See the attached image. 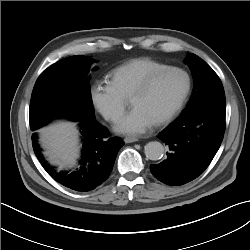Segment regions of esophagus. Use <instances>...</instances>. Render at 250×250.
Returning a JSON list of instances; mask_svg holds the SVG:
<instances>
[{
  "instance_id": "34e87169",
  "label": "esophagus",
  "mask_w": 250,
  "mask_h": 250,
  "mask_svg": "<svg viewBox=\"0 0 250 250\" xmlns=\"http://www.w3.org/2000/svg\"><path fill=\"white\" fill-rule=\"evenodd\" d=\"M137 141H138V138H135V137H125L124 138L125 143H133V142H137Z\"/></svg>"
}]
</instances>
